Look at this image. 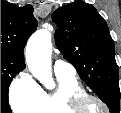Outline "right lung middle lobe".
<instances>
[{"label": "right lung middle lobe", "instance_id": "right-lung-middle-lobe-1", "mask_svg": "<svg viewBox=\"0 0 121 113\" xmlns=\"http://www.w3.org/2000/svg\"><path fill=\"white\" fill-rule=\"evenodd\" d=\"M24 67L20 62L1 56V113H11L8 103V88L12 78Z\"/></svg>", "mask_w": 121, "mask_h": 113}]
</instances>
